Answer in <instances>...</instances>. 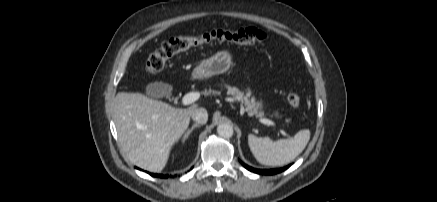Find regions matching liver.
I'll use <instances>...</instances> for the list:
<instances>
[{"label":"liver","instance_id":"obj_1","mask_svg":"<svg viewBox=\"0 0 437 202\" xmlns=\"http://www.w3.org/2000/svg\"><path fill=\"white\" fill-rule=\"evenodd\" d=\"M196 109L198 104L180 109L140 93H117L113 115L122 152L142 169L162 171Z\"/></svg>","mask_w":437,"mask_h":202}]
</instances>
